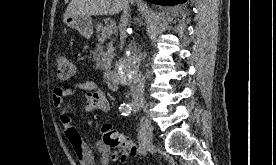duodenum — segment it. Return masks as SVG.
<instances>
[{"label": "duodenum", "mask_w": 276, "mask_h": 165, "mask_svg": "<svg viewBox=\"0 0 276 165\" xmlns=\"http://www.w3.org/2000/svg\"><path fill=\"white\" fill-rule=\"evenodd\" d=\"M105 81L107 86L111 90H117L120 86V77L117 71L113 68H109L105 71Z\"/></svg>", "instance_id": "1"}]
</instances>
